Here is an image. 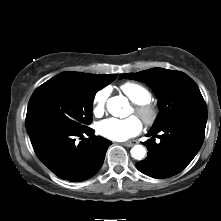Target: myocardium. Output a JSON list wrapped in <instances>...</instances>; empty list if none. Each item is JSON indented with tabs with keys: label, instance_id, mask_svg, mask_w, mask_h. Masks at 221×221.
<instances>
[{
	"label": "myocardium",
	"instance_id": "obj_1",
	"mask_svg": "<svg viewBox=\"0 0 221 221\" xmlns=\"http://www.w3.org/2000/svg\"><path fill=\"white\" fill-rule=\"evenodd\" d=\"M134 112L147 126L153 125L159 116L158 108L151 102L135 103Z\"/></svg>",
	"mask_w": 221,
	"mask_h": 221
}]
</instances>
